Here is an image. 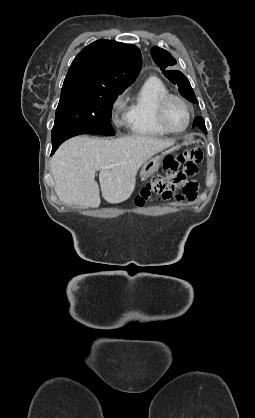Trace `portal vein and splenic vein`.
I'll return each mask as SVG.
<instances>
[{
    "instance_id": "1",
    "label": "portal vein and splenic vein",
    "mask_w": 255,
    "mask_h": 418,
    "mask_svg": "<svg viewBox=\"0 0 255 418\" xmlns=\"http://www.w3.org/2000/svg\"><path fill=\"white\" fill-rule=\"evenodd\" d=\"M106 168H112V166H111V165H109V166H107Z\"/></svg>"
}]
</instances>
